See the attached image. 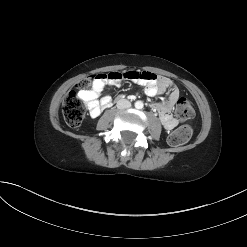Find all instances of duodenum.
I'll return each instance as SVG.
<instances>
[{
    "label": "duodenum",
    "mask_w": 247,
    "mask_h": 247,
    "mask_svg": "<svg viewBox=\"0 0 247 247\" xmlns=\"http://www.w3.org/2000/svg\"><path fill=\"white\" fill-rule=\"evenodd\" d=\"M119 98H124V95H117V96H116V99H115V102H118V99H119Z\"/></svg>",
    "instance_id": "1"
}]
</instances>
